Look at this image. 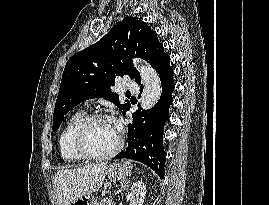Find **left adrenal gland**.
Returning a JSON list of instances; mask_svg holds the SVG:
<instances>
[{"mask_svg":"<svg viewBox=\"0 0 269 205\" xmlns=\"http://www.w3.org/2000/svg\"><path fill=\"white\" fill-rule=\"evenodd\" d=\"M129 180L125 181L123 184H121L120 189L117 191V194L121 193L122 190H124V188L129 184Z\"/></svg>","mask_w":269,"mask_h":205,"instance_id":"a2214340","label":"left adrenal gland"}]
</instances>
